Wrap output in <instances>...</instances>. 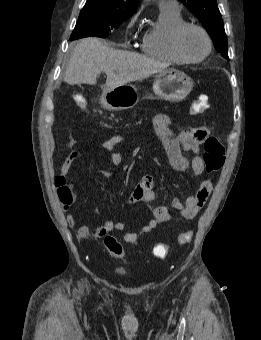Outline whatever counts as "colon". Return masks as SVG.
Wrapping results in <instances>:
<instances>
[{
  "label": "colon",
  "mask_w": 261,
  "mask_h": 340,
  "mask_svg": "<svg viewBox=\"0 0 261 340\" xmlns=\"http://www.w3.org/2000/svg\"><path fill=\"white\" fill-rule=\"evenodd\" d=\"M78 105L85 107L84 100H79ZM209 107L208 99L205 95L199 96L190 108V113L193 115L204 112ZM204 167L208 173L216 172L223 166L225 162V148L220 139L210 136L204 143ZM55 185L57 187L58 198L64 209H68L75 200L73 187L69 184L63 176L56 179ZM192 233L190 231L182 232L178 237L180 244H186L191 241ZM104 246L107 251L116 258H123L125 256L123 246L112 236H107L104 239ZM170 251L167 244L159 243L153 248V255L158 259H165Z\"/></svg>",
  "instance_id": "5ec220e1"
}]
</instances>
